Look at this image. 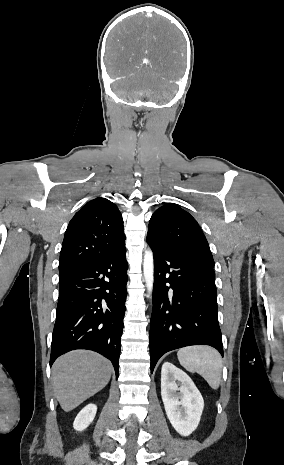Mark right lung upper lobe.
I'll return each instance as SVG.
<instances>
[{"label": "right lung upper lobe", "instance_id": "right-lung-upper-lobe-1", "mask_svg": "<svg viewBox=\"0 0 284 465\" xmlns=\"http://www.w3.org/2000/svg\"><path fill=\"white\" fill-rule=\"evenodd\" d=\"M125 245L122 215L105 198H96L69 222L59 260L60 276L90 266Z\"/></svg>", "mask_w": 284, "mask_h": 465}]
</instances>
